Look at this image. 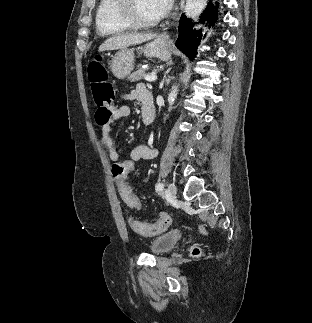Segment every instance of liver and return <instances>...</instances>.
I'll use <instances>...</instances> for the list:
<instances>
[{
	"mask_svg": "<svg viewBox=\"0 0 312 323\" xmlns=\"http://www.w3.org/2000/svg\"><path fill=\"white\" fill-rule=\"evenodd\" d=\"M156 38L155 34H115L111 38H107L104 44H101L98 52H106V50H122L127 46H136V44H142L147 40H153Z\"/></svg>",
	"mask_w": 312,
	"mask_h": 323,
	"instance_id": "liver-1",
	"label": "liver"
}]
</instances>
